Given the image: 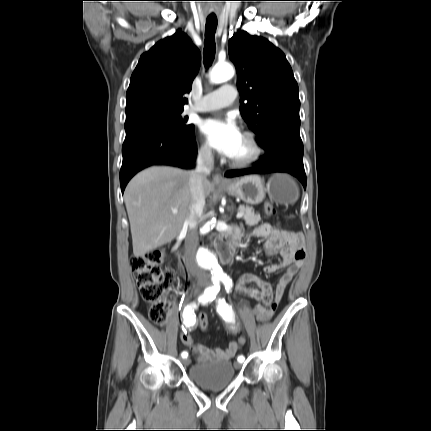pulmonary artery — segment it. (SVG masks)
Returning <instances> with one entry per match:
<instances>
[{"label": "pulmonary artery", "instance_id": "obj_1", "mask_svg": "<svg viewBox=\"0 0 431 431\" xmlns=\"http://www.w3.org/2000/svg\"><path fill=\"white\" fill-rule=\"evenodd\" d=\"M237 96L236 88L231 84H224L219 89L207 93L192 107L194 112H208L229 106Z\"/></svg>", "mask_w": 431, "mask_h": 431}]
</instances>
